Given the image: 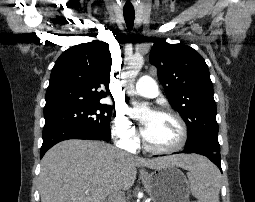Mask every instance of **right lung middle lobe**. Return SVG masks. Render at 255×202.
<instances>
[{"label": "right lung middle lobe", "instance_id": "obj_1", "mask_svg": "<svg viewBox=\"0 0 255 202\" xmlns=\"http://www.w3.org/2000/svg\"><path fill=\"white\" fill-rule=\"evenodd\" d=\"M112 107L100 102L68 107L45 113V129L54 127H79L102 140H110Z\"/></svg>", "mask_w": 255, "mask_h": 202}]
</instances>
